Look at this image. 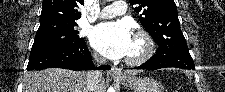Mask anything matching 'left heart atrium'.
Segmentation results:
<instances>
[{"instance_id": "left-heart-atrium-1", "label": "left heart atrium", "mask_w": 225, "mask_h": 92, "mask_svg": "<svg viewBox=\"0 0 225 92\" xmlns=\"http://www.w3.org/2000/svg\"><path fill=\"white\" fill-rule=\"evenodd\" d=\"M92 46L103 56L117 60L128 55L132 45V32L123 20L101 23L90 34Z\"/></svg>"}]
</instances>
